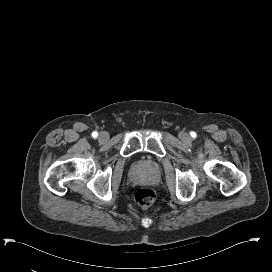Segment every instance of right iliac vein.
Returning a JSON list of instances; mask_svg holds the SVG:
<instances>
[{
  "instance_id": "1",
  "label": "right iliac vein",
  "mask_w": 272,
  "mask_h": 272,
  "mask_svg": "<svg viewBox=\"0 0 272 272\" xmlns=\"http://www.w3.org/2000/svg\"><path fill=\"white\" fill-rule=\"evenodd\" d=\"M108 138H109V135H108V133H106V132H101V133L99 134V139H100L101 141H106Z\"/></svg>"
}]
</instances>
